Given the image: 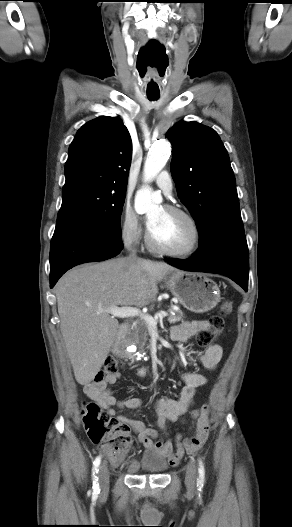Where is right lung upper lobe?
<instances>
[{
	"label": "right lung upper lobe",
	"instance_id": "1",
	"mask_svg": "<svg viewBox=\"0 0 292 527\" xmlns=\"http://www.w3.org/2000/svg\"><path fill=\"white\" fill-rule=\"evenodd\" d=\"M132 141L118 117L101 116L77 132L65 164V184L84 182L126 190Z\"/></svg>",
	"mask_w": 292,
	"mask_h": 527
}]
</instances>
